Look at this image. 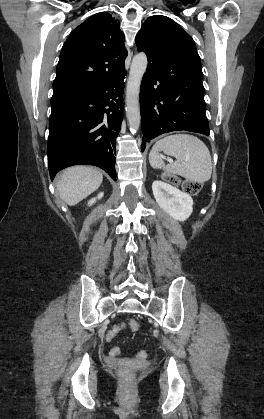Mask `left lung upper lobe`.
Returning <instances> with one entry per match:
<instances>
[{"mask_svg": "<svg viewBox=\"0 0 264 419\" xmlns=\"http://www.w3.org/2000/svg\"><path fill=\"white\" fill-rule=\"evenodd\" d=\"M139 51L148 56L161 77L177 79L186 85L201 83L203 72L195 42L172 19L155 15L149 17L136 35Z\"/></svg>", "mask_w": 264, "mask_h": 419, "instance_id": "obj_1", "label": "left lung upper lobe"}]
</instances>
